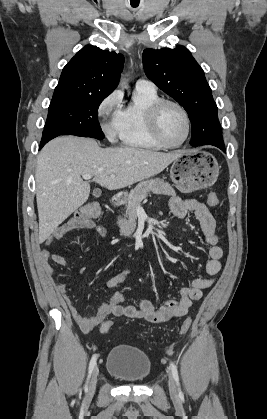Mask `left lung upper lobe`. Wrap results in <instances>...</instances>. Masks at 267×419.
Wrapping results in <instances>:
<instances>
[{
  "label": "left lung upper lobe",
  "instance_id": "obj_1",
  "mask_svg": "<svg viewBox=\"0 0 267 419\" xmlns=\"http://www.w3.org/2000/svg\"><path fill=\"white\" fill-rule=\"evenodd\" d=\"M142 60L147 77L187 111L192 124L190 144L207 135L224 143L211 88L189 50L184 46L145 49Z\"/></svg>",
  "mask_w": 267,
  "mask_h": 419
}]
</instances>
